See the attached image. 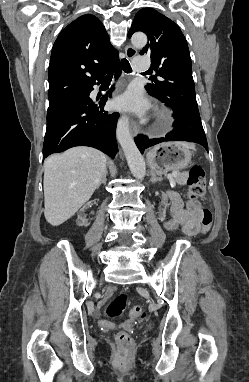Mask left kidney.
Masks as SVG:
<instances>
[{
	"instance_id": "left-kidney-1",
	"label": "left kidney",
	"mask_w": 249,
	"mask_h": 382,
	"mask_svg": "<svg viewBox=\"0 0 249 382\" xmlns=\"http://www.w3.org/2000/svg\"><path fill=\"white\" fill-rule=\"evenodd\" d=\"M160 200H161V201H157V202H156V204H155L156 207H157V208H165V207H166V200H167L166 197L163 196V197H161Z\"/></svg>"
}]
</instances>
